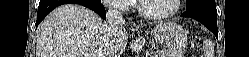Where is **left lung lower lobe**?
Here are the masks:
<instances>
[{"label":"left lung lower lobe","mask_w":249,"mask_h":57,"mask_svg":"<svg viewBox=\"0 0 249 57\" xmlns=\"http://www.w3.org/2000/svg\"><path fill=\"white\" fill-rule=\"evenodd\" d=\"M182 17L193 18L201 22L206 28L218 36L217 10L215 0H200L193 5L187 6Z\"/></svg>","instance_id":"1"}]
</instances>
